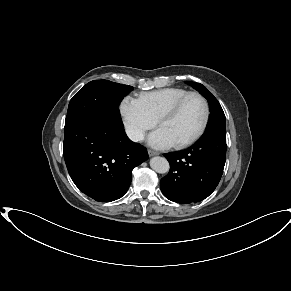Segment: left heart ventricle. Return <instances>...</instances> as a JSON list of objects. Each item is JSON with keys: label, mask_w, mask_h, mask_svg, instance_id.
<instances>
[{"label": "left heart ventricle", "mask_w": 291, "mask_h": 291, "mask_svg": "<svg viewBox=\"0 0 291 291\" xmlns=\"http://www.w3.org/2000/svg\"><path fill=\"white\" fill-rule=\"evenodd\" d=\"M205 114L202 100L192 96L183 104L178 114L160 125L173 144L192 137L201 127Z\"/></svg>", "instance_id": "left-heart-ventricle-1"}]
</instances>
